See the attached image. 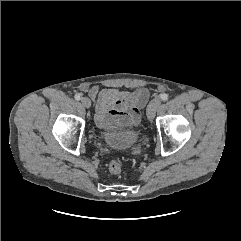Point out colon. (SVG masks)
<instances>
[{
  "label": "colon",
  "mask_w": 241,
  "mask_h": 241,
  "mask_svg": "<svg viewBox=\"0 0 241 241\" xmlns=\"http://www.w3.org/2000/svg\"><path fill=\"white\" fill-rule=\"evenodd\" d=\"M123 167L122 161L120 159H112L109 162L108 169L112 174H118L121 172Z\"/></svg>",
  "instance_id": "5ec220e1"
}]
</instances>
